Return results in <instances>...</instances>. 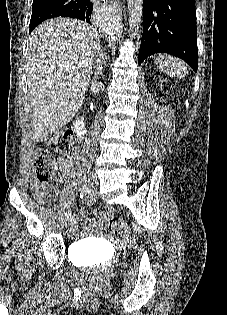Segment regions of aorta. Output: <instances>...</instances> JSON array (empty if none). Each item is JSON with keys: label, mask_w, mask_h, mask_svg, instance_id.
Segmentation results:
<instances>
[{"label": "aorta", "mask_w": 227, "mask_h": 315, "mask_svg": "<svg viewBox=\"0 0 227 315\" xmlns=\"http://www.w3.org/2000/svg\"><path fill=\"white\" fill-rule=\"evenodd\" d=\"M128 12L131 38H134L142 21L143 0H128ZM105 32L112 39H117L119 37L118 29L113 23L107 24Z\"/></svg>", "instance_id": "obj_1"}]
</instances>
